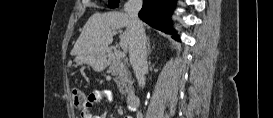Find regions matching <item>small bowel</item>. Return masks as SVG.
Here are the masks:
<instances>
[{
    "label": "small bowel",
    "mask_w": 273,
    "mask_h": 118,
    "mask_svg": "<svg viewBox=\"0 0 273 118\" xmlns=\"http://www.w3.org/2000/svg\"><path fill=\"white\" fill-rule=\"evenodd\" d=\"M112 98L111 93L105 90H97L91 93L87 99V105L82 108L81 116L82 118H93L92 109L95 105L101 104L106 100ZM100 117H104V114H101Z\"/></svg>",
    "instance_id": "obj_1"
}]
</instances>
